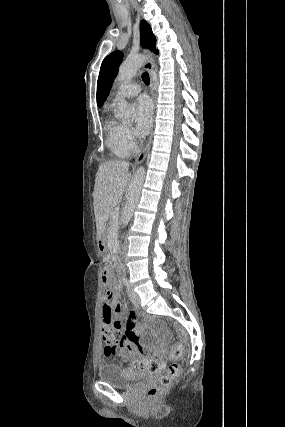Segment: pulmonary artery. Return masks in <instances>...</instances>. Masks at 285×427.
Returning <instances> with one entry per match:
<instances>
[{
    "label": "pulmonary artery",
    "instance_id": "1",
    "mask_svg": "<svg viewBox=\"0 0 285 427\" xmlns=\"http://www.w3.org/2000/svg\"><path fill=\"white\" fill-rule=\"evenodd\" d=\"M141 91L139 83L135 81H129L122 84L115 92L116 97H134L138 95Z\"/></svg>",
    "mask_w": 285,
    "mask_h": 427
}]
</instances>
